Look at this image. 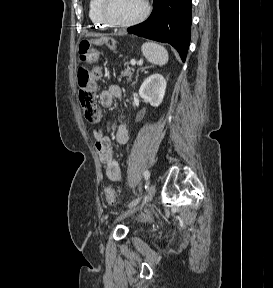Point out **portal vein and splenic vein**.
<instances>
[{
  "label": "portal vein and splenic vein",
  "instance_id": "1",
  "mask_svg": "<svg viewBox=\"0 0 273 288\" xmlns=\"http://www.w3.org/2000/svg\"><path fill=\"white\" fill-rule=\"evenodd\" d=\"M136 61L135 60H131V65H135Z\"/></svg>",
  "mask_w": 273,
  "mask_h": 288
}]
</instances>
